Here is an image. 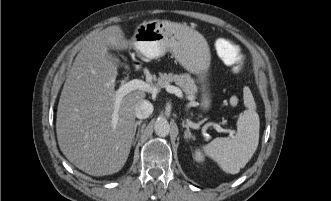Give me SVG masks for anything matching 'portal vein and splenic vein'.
Segmentation results:
<instances>
[{"instance_id": "obj_1", "label": "portal vein and splenic vein", "mask_w": 331, "mask_h": 201, "mask_svg": "<svg viewBox=\"0 0 331 201\" xmlns=\"http://www.w3.org/2000/svg\"><path fill=\"white\" fill-rule=\"evenodd\" d=\"M135 90H141L144 92H148L151 93L152 95H156L158 93V88H156L155 86L150 85L147 82H144L142 80L139 79H133L130 80L128 82L122 83L118 90L115 92V103H114V112L112 115V126L116 127L117 123H118V109L120 107V103L123 99L124 96H126L127 94H129L132 91ZM166 90L169 93L175 94L178 97H182V91L180 90V88L173 86V85H168L166 86ZM217 132H225L226 130L223 129L220 125L218 124H213L212 125ZM231 136H233L232 131H230Z\"/></svg>"}]
</instances>
